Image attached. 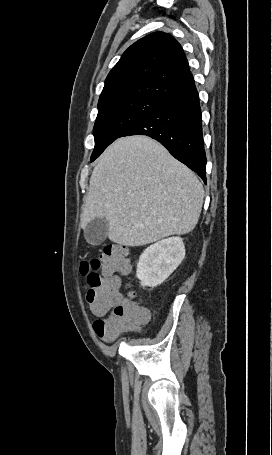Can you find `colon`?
<instances>
[{
    "label": "colon",
    "instance_id": "5ec220e1",
    "mask_svg": "<svg viewBox=\"0 0 272 455\" xmlns=\"http://www.w3.org/2000/svg\"><path fill=\"white\" fill-rule=\"evenodd\" d=\"M129 269V252L126 247L117 244L106 245L98 256L80 263V273L86 279L89 310L99 316L93 323V329L106 342L135 329L147 318L143 307L132 297L124 298L120 293L117 275H126Z\"/></svg>",
    "mask_w": 272,
    "mask_h": 455
}]
</instances>
